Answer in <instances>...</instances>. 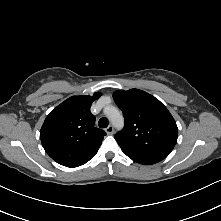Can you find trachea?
<instances>
[{
	"label": "trachea",
	"mask_w": 221,
	"mask_h": 221,
	"mask_svg": "<svg viewBox=\"0 0 221 221\" xmlns=\"http://www.w3.org/2000/svg\"><path fill=\"white\" fill-rule=\"evenodd\" d=\"M98 125L100 128H106L108 126V120L105 117H102L99 122Z\"/></svg>",
	"instance_id": "3493384b"
}]
</instances>
